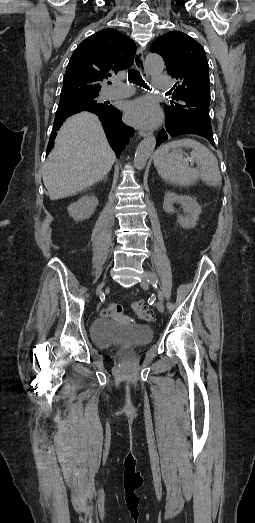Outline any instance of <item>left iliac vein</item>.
Here are the masks:
<instances>
[{
	"mask_svg": "<svg viewBox=\"0 0 255 523\" xmlns=\"http://www.w3.org/2000/svg\"><path fill=\"white\" fill-rule=\"evenodd\" d=\"M151 276L155 281H158L157 280V276L154 274V273H151V272H146L145 273V277L141 280L140 282V285L143 289L147 290L149 288V282H148V277ZM156 308L158 309L159 312H164V304L162 301H157L156 302Z\"/></svg>",
	"mask_w": 255,
	"mask_h": 523,
	"instance_id": "4c4485c4",
	"label": "left iliac vein"
}]
</instances>
